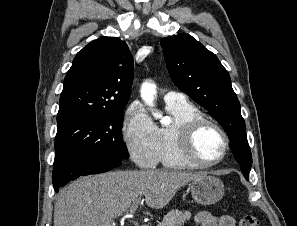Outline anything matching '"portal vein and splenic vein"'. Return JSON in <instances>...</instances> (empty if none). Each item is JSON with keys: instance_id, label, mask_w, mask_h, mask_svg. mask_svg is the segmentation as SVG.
Masks as SVG:
<instances>
[{"instance_id": "1", "label": "portal vein and splenic vein", "mask_w": 297, "mask_h": 226, "mask_svg": "<svg viewBox=\"0 0 297 226\" xmlns=\"http://www.w3.org/2000/svg\"><path fill=\"white\" fill-rule=\"evenodd\" d=\"M139 204H140V198L134 200L132 206L130 207L129 213H126L124 217L125 218L131 217V213H133L137 209Z\"/></svg>"}]
</instances>
